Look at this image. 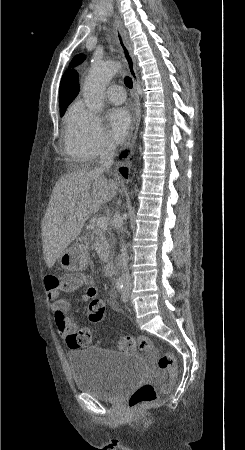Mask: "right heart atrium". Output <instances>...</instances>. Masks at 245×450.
Listing matches in <instances>:
<instances>
[{
    "mask_svg": "<svg viewBox=\"0 0 245 450\" xmlns=\"http://www.w3.org/2000/svg\"><path fill=\"white\" fill-rule=\"evenodd\" d=\"M64 147L66 153L82 161H92L114 149L98 116L82 103L68 112Z\"/></svg>",
    "mask_w": 245,
    "mask_h": 450,
    "instance_id": "1",
    "label": "right heart atrium"
}]
</instances>
